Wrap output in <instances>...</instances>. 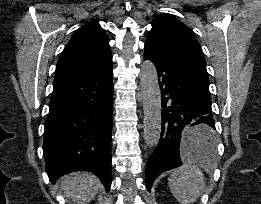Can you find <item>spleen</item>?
I'll use <instances>...</instances> for the list:
<instances>
[{"instance_id":"obj_1","label":"spleen","mask_w":261,"mask_h":204,"mask_svg":"<svg viewBox=\"0 0 261 204\" xmlns=\"http://www.w3.org/2000/svg\"><path fill=\"white\" fill-rule=\"evenodd\" d=\"M199 147L206 152L215 151V139L199 142ZM168 185L173 196L181 204H192L201 195L205 186V177L201 170L191 164H185L176 169L168 178Z\"/></svg>"}]
</instances>
